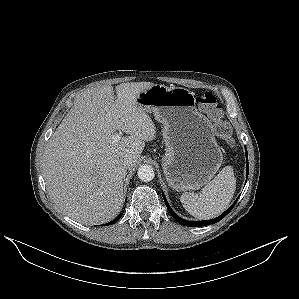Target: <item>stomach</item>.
Returning a JSON list of instances; mask_svg holds the SVG:
<instances>
[{
  "label": "stomach",
  "mask_w": 299,
  "mask_h": 299,
  "mask_svg": "<svg viewBox=\"0 0 299 299\" xmlns=\"http://www.w3.org/2000/svg\"><path fill=\"white\" fill-rule=\"evenodd\" d=\"M138 105L162 123L163 172L176 191L198 189L213 179L223 163L212 123L196 108L193 92L154 84L137 96Z\"/></svg>",
  "instance_id": "stomach-1"
}]
</instances>
